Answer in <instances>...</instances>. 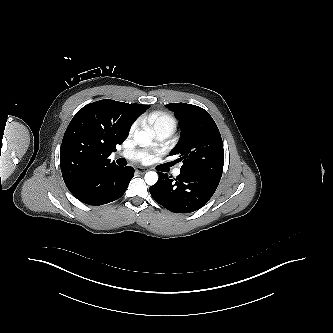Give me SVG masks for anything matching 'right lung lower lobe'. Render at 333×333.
Masks as SVG:
<instances>
[{
	"instance_id": "right-lung-lower-lobe-1",
	"label": "right lung lower lobe",
	"mask_w": 333,
	"mask_h": 333,
	"mask_svg": "<svg viewBox=\"0 0 333 333\" xmlns=\"http://www.w3.org/2000/svg\"><path fill=\"white\" fill-rule=\"evenodd\" d=\"M132 167L109 166L86 176L74 190L75 198L88 205H103L119 199L133 177Z\"/></svg>"
}]
</instances>
